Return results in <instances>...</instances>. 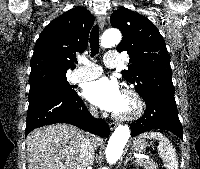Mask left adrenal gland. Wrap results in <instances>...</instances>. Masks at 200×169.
<instances>
[{
    "label": "left adrenal gland",
    "mask_w": 200,
    "mask_h": 169,
    "mask_svg": "<svg viewBox=\"0 0 200 169\" xmlns=\"http://www.w3.org/2000/svg\"><path fill=\"white\" fill-rule=\"evenodd\" d=\"M128 161H134L133 157H132V153L130 152L128 154V156L126 157L124 164H126Z\"/></svg>",
    "instance_id": "1"
}]
</instances>
